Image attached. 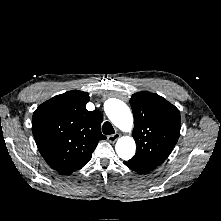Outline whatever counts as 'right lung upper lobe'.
I'll list each match as a JSON object with an SVG mask.
<instances>
[{
  "label": "right lung upper lobe",
  "instance_id": "right-lung-upper-lobe-1",
  "mask_svg": "<svg viewBox=\"0 0 221 221\" xmlns=\"http://www.w3.org/2000/svg\"><path fill=\"white\" fill-rule=\"evenodd\" d=\"M89 94L69 91L41 104L32 117V131L46 162L62 174L82 168L97 143L106 139L101 133L103 116L88 111Z\"/></svg>",
  "mask_w": 221,
  "mask_h": 221
}]
</instances>
